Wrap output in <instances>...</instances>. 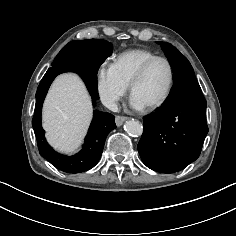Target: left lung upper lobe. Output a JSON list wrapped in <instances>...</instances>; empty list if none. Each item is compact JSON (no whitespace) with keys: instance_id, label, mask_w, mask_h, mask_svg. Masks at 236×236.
Segmentation results:
<instances>
[{"instance_id":"left-lung-upper-lobe-1","label":"left lung upper lobe","mask_w":236,"mask_h":236,"mask_svg":"<svg viewBox=\"0 0 236 236\" xmlns=\"http://www.w3.org/2000/svg\"><path fill=\"white\" fill-rule=\"evenodd\" d=\"M167 56L174 72V82L188 74H194V70L185 56L178 49L167 42H158Z\"/></svg>"}]
</instances>
